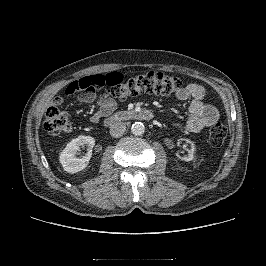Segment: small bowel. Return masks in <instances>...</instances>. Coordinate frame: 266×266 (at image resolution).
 <instances>
[{
    "label": "small bowel",
    "mask_w": 266,
    "mask_h": 266,
    "mask_svg": "<svg viewBox=\"0 0 266 266\" xmlns=\"http://www.w3.org/2000/svg\"><path fill=\"white\" fill-rule=\"evenodd\" d=\"M176 98L181 101H190V116L184 123H176L175 127L198 133L219 120L218 110L206 102L205 89L196 83H190L180 88ZM78 100L82 103H95L96 112L92 115L91 121L98 123L103 117H107L116 109V102L106 94L98 95L94 91L82 94ZM61 97L55 98V104L63 103Z\"/></svg>",
    "instance_id": "small-bowel-1"
}]
</instances>
